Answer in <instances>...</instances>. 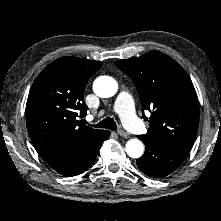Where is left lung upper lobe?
Returning <instances> with one entry per match:
<instances>
[{
	"instance_id": "left-lung-upper-lobe-1",
	"label": "left lung upper lobe",
	"mask_w": 221,
	"mask_h": 221,
	"mask_svg": "<svg viewBox=\"0 0 221 221\" xmlns=\"http://www.w3.org/2000/svg\"><path fill=\"white\" fill-rule=\"evenodd\" d=\"M115 64L133 80L143 110L151 112L150 127L141 137L190 150L198 130L199 105L185 70L158 51L118 60ZM143 117L148 120L144 112Z\"/></svg>"
}]
</instances>
